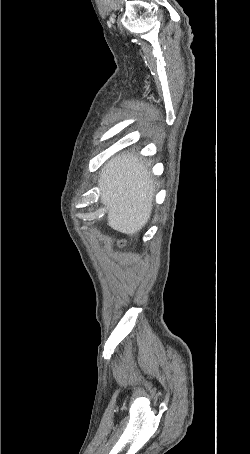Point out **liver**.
Listing matches in <instances>:
<instances>
[{
	"label": "liver",
	"instance_id": "liver-1",
	"mask_svg": "<svg viewBox=\"0 0 250 454\" xmlns=\"http://www.w3.org/2000/svg\"><path fill=\"white\" fill-rule=\"evenodd\" d=\"M101 202L108 207V225L127 235L137 234L150 219L154 179L134 152L110 159L99 178Z\"/></svg>",
	"mask_w": 250,
	"mask_h": 454
}]
</instances>
